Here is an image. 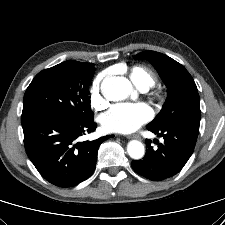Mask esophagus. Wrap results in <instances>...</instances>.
I'll use <instances>...</instances> for the list:
<instances>
[{
  "mask_svg": "<svg viewBox=\"0 0 225 225\" xmlns=\"http://www.w3.org/2000/svg\"><path fill=\"white\" fill-rule=\"evenodd\" d=\"M127 138L128 139H138V140H141V137L140 136H138V135H129V136H127Z\"/></svg>",
  "mask_w": 225,
  "mask_h": 225,
  "instance_id": "1",
  "label": "esophagus"
}]
</instances>
